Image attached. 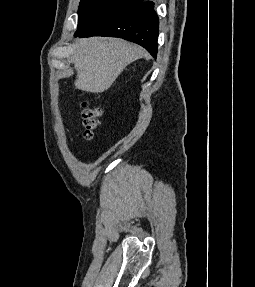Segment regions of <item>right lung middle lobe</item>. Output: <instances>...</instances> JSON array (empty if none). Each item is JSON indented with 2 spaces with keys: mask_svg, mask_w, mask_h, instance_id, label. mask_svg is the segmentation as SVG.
<instances>
[{
  "mask_svg": "<svg viewBox=\"0 0 255 287\" xmlns=\"http://www.w3.org/2000/svg\"><path fill=\"white\" fill-rule=\"evenodd\" d=\"M128 4H132L131 0H81L76 33L84 32L95 23Z\"/></svg>",
  "mask_w": 255,
  "mask_h": 287,
  "instance_id": "1",
  "label": "right lung middle lobe"
}]
</instances>
